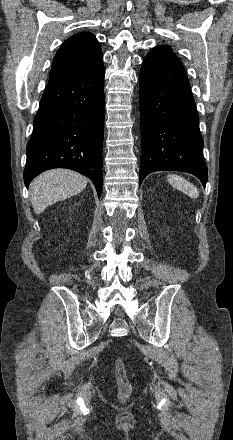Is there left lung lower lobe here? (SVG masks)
<instances>
[{
	"label": "left lung lower lobe",
	"instance_id": "1",
	"mask_svg": "<svg viewBox=\"0 0 233 440\" xmlns=\"http://www.w3.org/2000/svg\"><path fill=\"white\" fill-rule=\"evenodd\" d=\"M141 117L140 184L151 172L177 170L205 186L203 139L189 81L176 55L150 52L139 79Z\"/></svg>",
	"mask_w": 233,
	"mask_h": 440
}]
</instances>
